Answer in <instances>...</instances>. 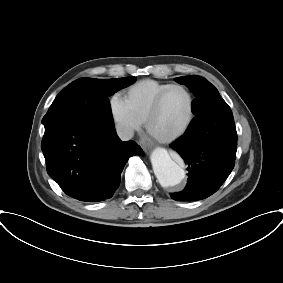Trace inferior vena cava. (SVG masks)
Wrapping results in <instances>:
<instances>
[{"instance_id": "inferior-vena-cava-1", "label": "inferior vena cava", "mask_w": 283, "mask_h": 283, "mask_svg": "<svg viewBox=\"0 0 283 283\" xmlns=\"http://www.w3.org/2000/svg\"><path fill=\"white\" fill-rule=\"evenodd\" d=\"M116 132L122 141H128L134 135L133 130L129 126H126L124 124H117Z\"/></svg>"}]
</instances>
